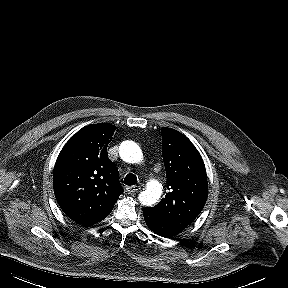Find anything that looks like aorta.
I'll return each mask as SVG.
<instances>
[{
    "label": "aorta",
    "instance_id": "762f6f07",
    "mask_svg": "<svg viewBox=\"0 0 288 288\" xmlns=\"http://www.w3.org/2000/svg\"><path fill=\"white\" fill-rule=\"evenodd\" d=\"M119 154L122 160L128 163L140 162L143 158L140 147L133 141H124L119 147ZM162 194V184L157 180L148 182L145 191L139 194L141 204L151 206L158 202Z\"/></svg>",
    "mask_w": 288,
    "mask_h": 288
}]
</instances>
